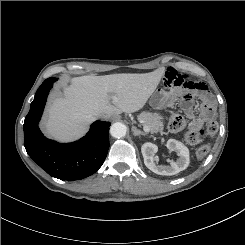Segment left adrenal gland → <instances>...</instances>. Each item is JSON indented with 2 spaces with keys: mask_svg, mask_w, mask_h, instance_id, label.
I'll return each instance as SVG.
<instances>
[{
  "mask_svg": "<svg viewBox=\"0 0 245 245\" xmlns=\"http://www.w3.org/2000/svg\"><path fill=\"white\" fill-rule=\"evenodd\" d=\"M132 131L134 136L147 135V133L137 129L135 126L132 127Z\"/></svg>",
  "mask_w": 245,
  "mask_h": 245,
  "instance_id": "a2214340",
  "label": "left adrenal gland"
}]
</instances>
